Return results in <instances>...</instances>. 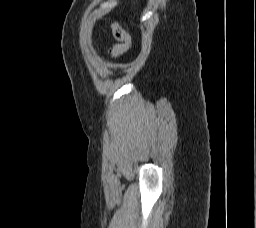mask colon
I'll list each match as a JSON object with an SVG mask.
<instances>
[{
  "instance_id": "obj_1",
  "label": "colon",
  "mask_w": 256,
  "mask_h": 228,
  "mask_svg": "<svg viewBox=\"0 0 256 228\" xmlns=\"http://www.w3.org/2000/svg\"><path fill=\"white\" fill-rule=\"evenodd\" d=\"M111 28L113 37L118 42L111 50V57L115 59L131 48L132 40L129 33L119 23H112Z\"/></svg>"
}]
</instances>
